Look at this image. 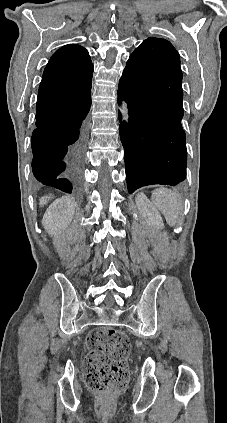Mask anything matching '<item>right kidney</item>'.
I'll return each instance as SVG.
<instances>
[{
	"instance_id": "1",
	"label": "right kidney",
	"mask_w": 227,
	"mask_h": 423,
	"mask_svg": "<svg viewBox=\"0 0 227 423\" xmlns=\"http://www.w3.org/2000/svg\"><path fill=\"white\" fill-rule=\"evenodd\" d=\"M75 213L73 200L69 196H62L50 204L42 217V225L50 235L62 233V229H67Z\"/></svg>"
}]
</instances>
